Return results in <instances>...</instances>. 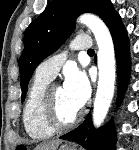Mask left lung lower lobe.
Wrapping results in <instances>:
<instances>
[{"mask_svg": "<svg viewBox=\"0 0 139 150\" xmlns=\"http://www.w3.org/2000/svg\"><path fill=\"white\" fill-rule=\"evenodd\" d=\"M104 22L111 32L115 47L119 78V103L130 75L129 40L121 18L114 8L110 10ZM60 139L76 142L90 150H115L113 125L108 123L104 127L95 130L90 120V114L80 126L61 136Z\"/></svg>", "mask_w": 139, "mask_h": 150, "instance_id": "0a47b994", "label": "left lung lower lobe"}]
</instances>
